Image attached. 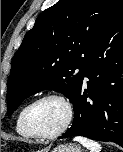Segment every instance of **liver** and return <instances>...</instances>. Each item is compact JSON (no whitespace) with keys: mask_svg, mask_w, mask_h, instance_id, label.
Listing matches in <instances>:
<instances>
[{"mask_svg":"<svg viewBox=\"0 0 123 152\" xmlns=\"http://www.w3.org/2000/svg\"><path fill=\"white\" fill-rule=\"evenodd\" d=\"M41 152H48V148L43 149Z\"/></svg>","mask_w":123,"mask_h":152,"instance_id":"liver-1","label":"liver"}]
</instances>
